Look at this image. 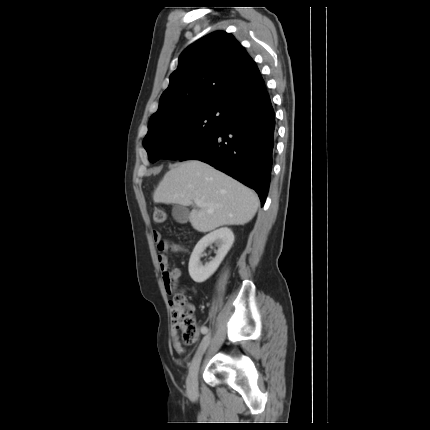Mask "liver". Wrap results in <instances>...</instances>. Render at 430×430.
Returning <instances> with one entry per match:
<instances>
[{
  "instance_id": "liver-1",
  "label": "liver",
  "mask_w": 430,
  "mask_h": 430,
  "mask_svg": "<svg viewBox=\"0 0 430 430\" xmlns=\"http://www.w3.org/2000/svg\"><path fill=\"white\" fill-rule=\"evenodd\" d=\"M195 199L204 203L189 217L199 232L244 225L254 217L259 205L255 192L199 160L185 161L170 169L153 194L155 203L189 206Z\"/></svg>"
}]
</instances>
